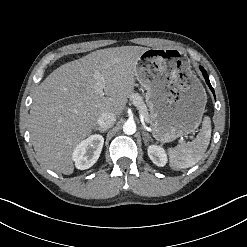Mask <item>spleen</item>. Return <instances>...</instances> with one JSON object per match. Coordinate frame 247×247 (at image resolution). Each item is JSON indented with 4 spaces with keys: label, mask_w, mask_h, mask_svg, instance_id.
<instances>
[{
    "label": "spleen",
    "mask_w": 247,
    "mask_h": 247,
    "mask_svg": "<svg viewBox=\"0 0 247 247\" xmlns=\"http://www.w3.org/2000/svg\"><path fill=\"white\" fill-rule=\"evenodd\" d=\"M211 138V121L209 117L203 120L202 129L194 140L186 144L169 148L170 167L175 170L185 169L195 165L203 157Z\"/></svg>",
    "instance_id": "spleen-1"
}]
</instances>
